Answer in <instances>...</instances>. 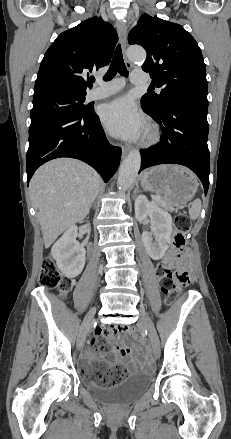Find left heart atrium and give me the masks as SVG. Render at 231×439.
<instances>
[{
	"label": "left heart atrium",
	"instance_id": "1",
	"mask_svg": "<svg viewBox=\"0 0 231 439\" xmlns=\"http://www.w3.org/2000/svg\"><path fill=\"white\" fill-rule=\"evenodd\" d=\"M100 116L108 132L122 139H138L146 129L144 116L128 97H119L104 105Z\"/></svg>",
	"mask_w": 231,
	"mask_h": 439
}]
</instances>
